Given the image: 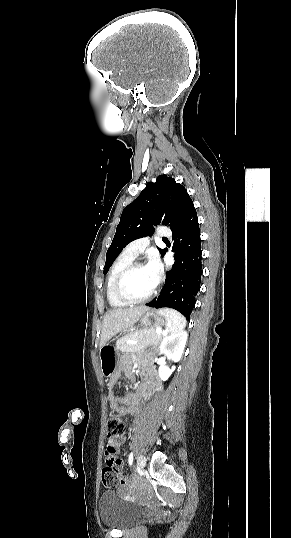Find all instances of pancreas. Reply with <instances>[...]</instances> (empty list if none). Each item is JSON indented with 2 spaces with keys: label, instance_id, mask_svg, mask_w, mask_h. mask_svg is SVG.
Masks as SVG:
<instances>
[{
  "label": "pancreas",
  "instance_id": "cf45deb5",
  "mask_svg": "<svg viewBox=\"0 0 291 538\" xmlns=\"http://www.w3.org/2000/svg\"><path fill=\"white\" fill-rule=\"evenodd\" d=\"M162 333H158L155 329H140L135 332H130L120 339L116 346L122 352H136L149 345H158L163 338ZM127 340L138 341L135 344L127 343Z\"/></svg>",
  "mask_w": 291,
  "mask_h": 538
}]
</instances>
